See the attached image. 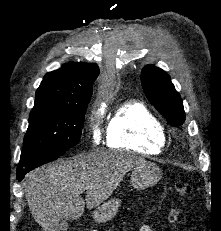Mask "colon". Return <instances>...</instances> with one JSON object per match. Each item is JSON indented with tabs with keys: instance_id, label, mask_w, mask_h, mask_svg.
I'll return each mask as SVG.
<instances>
[{
	"instance_id": "5ec220e1",
	"label": "colon",
	"mask_w": 221,
	"mask_h": 231,
	"mask_svg": "<svg viewBox=\"0 0 221 231\" xmlns=\"http://www.w3.org/2000/svg\"><path fill=\"white\" fill-rule=\"evenodd\" d=\"M175 192L179 201V204L183 202V199L191 193V187L188 183L179 181L175 184ZM180 213L179 205L174 206L169 213V220L175 221Z\"/></svg>"
}]
</instances>
